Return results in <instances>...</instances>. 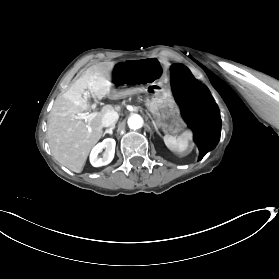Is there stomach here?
<instances>
[{
    "label": "stomach",
    "instance_id": "1",
    "mask_svg": "<svg viewBox=\"0 0 279 279\" xmlns=\"http://www.w3.org/2000/svg\"><path fill=\"white\" fill-rule=\"evenodd\" d=\"M147 109L153 116L155 125L166 133H173L184 124V114L175 100L155 96L150 99Z\"/></svg>",
    "mask_w": 279,
    "mask_h": 279
}]
</instances>
